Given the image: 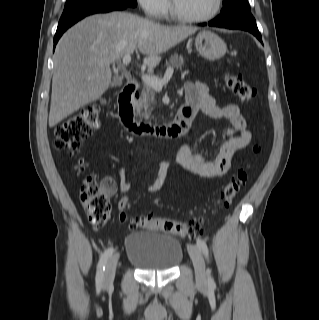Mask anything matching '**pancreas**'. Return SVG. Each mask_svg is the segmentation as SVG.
<instances>
[{
    "mask_svg": "<svg viewBox=\"0 0 319 320\" xmlns=\"http://www.w3.org/2000/svg\"><path fill=\"white\" fill-rule=\"evenodd\" d=\"M185 60L182 55L174 54L170 57L169 62L166 63L169 68L181 69ZM158 77V76H157ZM157 105L154 89L145 84L142 88L141 96L136 101V109L140 117H144L146 120L150 119L152 110Z\"/></svg>",
    "mask_w": 319,
    "mask_h": 320,
    "instance_id": "cf45deb5",
    "label": "pancreas"
}]
</instances>
